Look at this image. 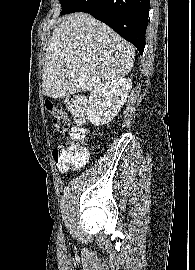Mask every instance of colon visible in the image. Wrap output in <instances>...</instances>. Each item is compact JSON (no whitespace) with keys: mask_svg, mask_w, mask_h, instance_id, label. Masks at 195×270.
<instances>
[{"mask_svg":"<svg viewBox=\"0 0 195 270\" xmlns=\"http://www.w3.org/2000/svg\"><path fill=\"white\" fill-rule=\"evenodd\" d=\"M47 111L54 116V126L59 133L70 129V118L65 110L57 107L52 101L45 103ZM66 107L73 116L76 126L71 130L63 142L53 149V159L60 171L65 172L71 167L80 166L87 159L85 148L86 135L82 127L86 111V101L78 95H71L66 99Z\"/></svg>","mask_w":195,"mask_h":270,"instance_id":"5ec220e1","label":"colon"}]
</instances>
